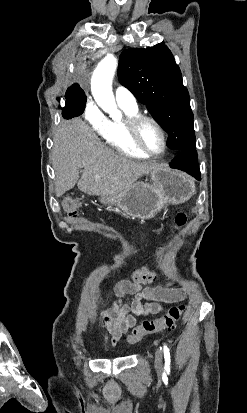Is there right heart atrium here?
Listing matches in <instances>:
<instances>
[{
	"label": "right heart atrium",
	"instance_id": "right-heart-atrium-1",
	"mask_svg": "<svg viewBox=\"0 0 247 413\" xmlns=\"http://www.w3.org/2000/svg\"><path fill=\"white\" fill-rule=\"evenodd\" d=\"M83 107L87 110L83 111L82 116L84 119H88L95 133H106V111L101 110V108L96 105L95 100H84Z\"/></svg>",
	"mask_w": 247,
	"mask_h": 413
}]
</instances>
